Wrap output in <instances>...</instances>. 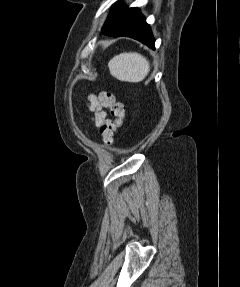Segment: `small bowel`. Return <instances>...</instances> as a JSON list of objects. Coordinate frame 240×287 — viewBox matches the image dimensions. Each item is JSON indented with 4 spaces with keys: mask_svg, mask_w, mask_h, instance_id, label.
<instances>
[{
    "mask_svg": "<svg viewBox=\"0 0 240 287\" xmlns=\"http://www.w3.org/2000/svg\"><path fill=\"white\" fill-rule=\"evenodd\" d=\"M87 107L92 114L91 121L101 129L107 121V113L104 107L100 105L96 95L90 94L87 97Z\"/></svg>",
    "mask_w": 240,
    "mask_h": 287,
    "instance_id": "small-bowel-1",
    "label": "small bowel"
}]
</instances>
